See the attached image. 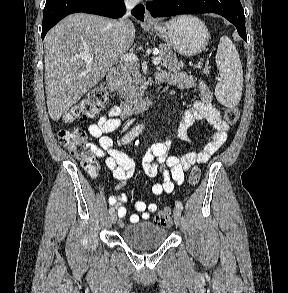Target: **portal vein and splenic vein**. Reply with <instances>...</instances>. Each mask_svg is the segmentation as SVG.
Instances as JSON below:
<instances>
[{
  "label": "portal vein and splenic vein",
  "mask_w": 288,
  "mask_h": 293,
  "mask_svg": "<svg viewBox=\"0 0 288 293\" xmlns=\"http://www.w3.org/2000/svg\"><path fill=\"white\" fill-rule=\"evenodd\" d=\"M82 59L86 60V61H92L94 59V55L92 54H84L81 56ZM138 58L135 54L133 53H129V54H124L121 56V61H125V62H135L137 61ZM161 62V57L159 56H155L153 58V64L154 65H159V63ZM200 68V66H198Z\"/></svg>",
  "instance_id": "portal-vein-and-splenic-vein-1"
}]
</instances>
